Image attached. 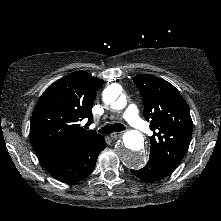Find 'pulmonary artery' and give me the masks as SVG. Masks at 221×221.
<instances>
[{"instance_id": "pulmonary-artery-1", "label": "pulmonary artery", "mask_w": 221, "mask_h": 221, "mask_svg": "<svg viewBox=\"0 0 221 221\" xmlns=\"http://www.w3.org/2000/svg\"><path fill=\"white\" fill-rule=\"evenodd\" d=\"M123 117L134 128L143 132H149V126L139 116V111L135 104L128 105V107L126 108L123 114Z\"/></svg>"}]
</instances>
